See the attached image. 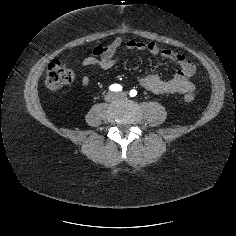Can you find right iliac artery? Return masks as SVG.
Returning a JSON list of instances; mask_svg holds the SVG:
<instances>
[{
    "label": "right iliac artery",
    "mask_w": 236,
    "mask_h": 236,
    "mask_svg": "<svg viewBox=\"0 0 236 236\" xmlns=\"http://www.w3.org/2000/svg\"><path fill=\"white\" fill-rule=\"evenodd\" d=\"M109 90L113 91V92H119L122 90V86L120 84H112L109 87Z\"/></svg>",
    "instance_id": "82829eb1"
}]
</instances>
